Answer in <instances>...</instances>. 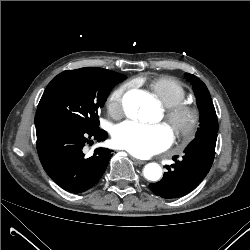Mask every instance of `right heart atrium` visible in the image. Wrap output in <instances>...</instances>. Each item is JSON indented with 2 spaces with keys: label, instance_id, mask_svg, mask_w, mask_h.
Returning <instances> with one entry per match:
<instances>
[{
  "label": "right heart atrium",
  "instance_id": "obj_1",
  "mask_svg": "<svg viewBox=\"0 0 250 250\" xmlns=\"http://www.w3.org/2000/svg\"><path fill=\"white\" fill-rule=\"evenodd\" d=\"M125 90V86L116 87L114 90H112L106 100L107 110L109 114L114 118H119L124 113Z\"/></svg>",
  "mask_w": 250,
  "mask_h": 250
}]
</instances>
